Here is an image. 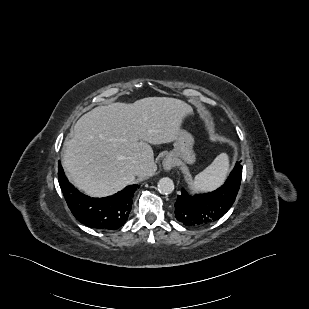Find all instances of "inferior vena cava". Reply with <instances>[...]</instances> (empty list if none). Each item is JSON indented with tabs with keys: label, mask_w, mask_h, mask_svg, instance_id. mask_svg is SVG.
Instances as JSON below:
<instances>
[{
	"label": "inferior vena cava",
	"mask_w": 309,
	"mask_h": 309,
	"mask_svg": "<svg viewBox=\"0 0 309 309\" xmlns=\"http://www.w3.org/2000/svg\"><path fill=\"white\" fill-rule=\"evenodd\" d=\"M133 163H134L135 173L138 174L142 169V165L138 162L137 159H133Z\"/></svg>",
	"instance_id": "inferior-vena-cava-1"
}]
</instances>
